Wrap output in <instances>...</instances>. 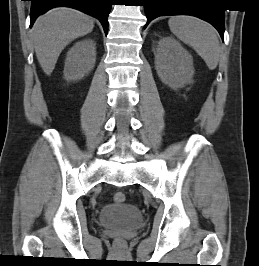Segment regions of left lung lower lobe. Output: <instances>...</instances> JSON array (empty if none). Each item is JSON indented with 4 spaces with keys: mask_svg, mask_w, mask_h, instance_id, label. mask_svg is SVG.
<instances>
[{
    "mask_svg": "<svg viewBox=\"0 0 259 266\" xmlns=\"http://www.w3.org/2000/svg\"><path fill=\"white\" fill-rule=\"evenodd\" d=\"M208 0H143L148 23L159 16L192 15L212 24L224 38V9L208 7Z\"/></svg>",
    "mask_w": 259,
    "mask_h": 266,
    "instance_id": "left-lung-lower-lobe-1",
    "label": "left lung lower lobe"
}]
</instances>
